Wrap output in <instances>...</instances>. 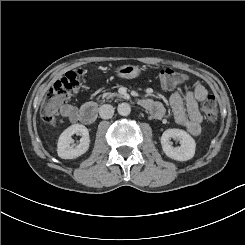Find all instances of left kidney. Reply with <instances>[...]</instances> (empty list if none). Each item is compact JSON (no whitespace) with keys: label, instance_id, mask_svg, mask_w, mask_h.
<instances>
[{"label":"left kidney","instance_id":"left-kidney-1","mask_svg":"<svg viewBox=\"0 0 245 245\" xmlns=\"http://www.w3.org/2000/svg\"><path fill=\"white\" fill-rule=\"evenodd\" d=\"M171 138L180 141V146L173 147ZM161 145L164 153L178 161H187L195 154V140L184 130L167 129L161 136Z\"/></svg>","mask_w":245,"mask_h":245}]
</instances>
